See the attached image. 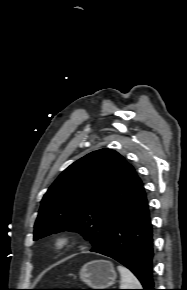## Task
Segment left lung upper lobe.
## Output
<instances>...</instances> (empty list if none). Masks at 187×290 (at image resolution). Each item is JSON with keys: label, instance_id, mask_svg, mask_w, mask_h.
<instances>
[{"label": "left lung upper lobe", "instance_id": "5c2ea615", "mask_svg": "<svg viewBox=\"0 0 187 290\" xmlns=\"http://www.w3.org/2000/svg\"><path fill=\"white\" fill-rule=\"evenodd\" d=\"M141 186L135 169L116 151L89 153L65 169L44 195L34 240L68 230L99 246Z\"/></svg>", "mask_w": 187, "mask_h": 290}]
</instances>
